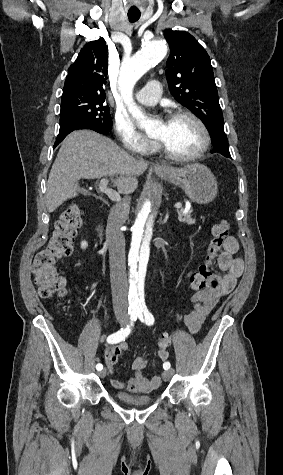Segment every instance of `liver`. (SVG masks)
I'll use <instances>...</instances> for the list:
<instances>
[{
    "label": "liver",
    "instance_id": "obj_1",
    "mask_svg": "<svg viewBox=\"0 0 283 475\" xmlns=\"http://www.w3.org/2000/svg\"><path fill=\"white\" fill-rule=\"evenodd\" d=\"M149 162L136 160L113 140L92 130H77L62 142L51 168L46 188L47 212H54L66 200L76 198L81 178L120 176L113 180L119 194H132L137 176L147 170Z\"/></svg>",
    "mask_w": 283,
    "mask_h": 475
}]
</instances>
